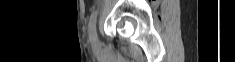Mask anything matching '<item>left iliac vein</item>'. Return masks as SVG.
I'll list each match as a JSON object with an SVG mask.
<instances>
[{
	"label": "left iliac vein",
	"mask_w": 235,
	"mask_h": 62,
	"mask_svg": "<svg viewBox=\"0 0 235 62\" xmlns=\"http://www.w3.org/2000/svg\"><path fill=\"white\" fill-rule=\"evenodd\" d=\"M90 36V41L92 44H97L98 43V37H97V33L96 34H89Z\"/></svg>",
	"instance_id": "4c4485c4"
}]
</instances>
